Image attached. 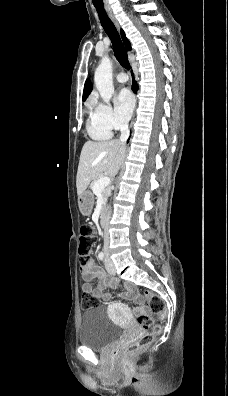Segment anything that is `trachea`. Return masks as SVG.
Listing matches in <instances>:
<instances>
[{
	"label": "trachea",
	"mask_w": 228,
	"mask_h": 396,
	"mask_svg": "<svg viewBox=\"0 0 228 396\" xmlns=\"http://www.w3.org/2000/svg\"><path fill=\"white\" fill-rule=\"evenodd\" d=\"M95 8L97 10L102 27L104 28L106 34L112 42L116 59L118 60L120 65H122L125 69L129 70L130 63L127 57V53L115 25L108 17L103 6H95Z\"/></svg>",
	"instance_id": "obj_1"
}]
</instances>
